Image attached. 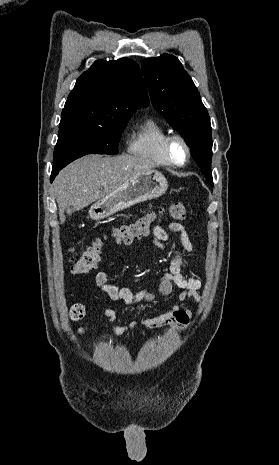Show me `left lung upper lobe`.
Returning <instances> with one entry per match:
<instances>
[{
	"mask_svg": "<svg viewBox=\"0 0 279 465\" xmlns=\"http://www.w3.org/2000/svg\"><path fill=\"white\" fill-rule=\"evenodd\" d=\"M141 66L154 108L183 136L201 172L213 185L210 118L191 77L170 54L146 58Z\"/></svg>",
	"mask_w": 279,
	"mask_h": 465,
	"instance_id": "left-lung-upper-lobe-1",
	"label": "left lung upper lobe"
}]
</instances>
